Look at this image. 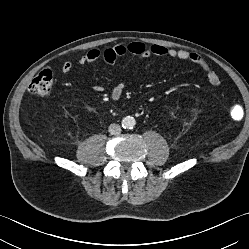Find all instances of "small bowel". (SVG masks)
<instances>
[{
  "mask_svg": "<svg viewBox=\"0 0 249 249\" xmlns=\"http://www.w3.org/2000/svg\"><path fill=\"white\" fill-rule=\"evenodd\" d=\"M125 55H131L138 59L167 57L171 60L190 61L206 72L207 79L212 86H218L220 84L219 76L211 69L208 62L201 55L187 50L175 49L157 44L146 47L143 43L133 42L127 45L111 46L104 50L94 48L81 56L79 63L81 65L89 66L102 58L108 65L114 66L117 60ZM72 68L73 63L70 60L64 61L61 65V71L64 74L71 72ZM94 90L96 92H103L104 87L96 85L94 86ZM124 91V82H117L110 90L109 96L111 100L117 101L122 97Z\"/></svg>",
  "mask_w": 249,
  "mask_h": 249,
  "instance_id": "obj_1",
  "label": "small bowel"
}]
</instances>
